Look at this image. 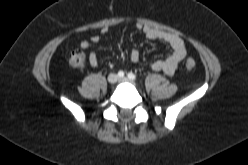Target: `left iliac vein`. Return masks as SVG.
I'll return each instance as SVG.
<instances>
[{"instance_id":"1","label":"left iliac vein","mask_w":248,"mask_h":165,"mask_svg":"<svg viewBox=\"0 0 248 165\" xmlns=\"http://www.w3.org/2000/svg\"><path fill=\"white\" fill-rule=\"evenodd\" d=\"M119 81H121V82H131V80H129L127 77L119 78Z\"/></svg>"}]
</instances>
